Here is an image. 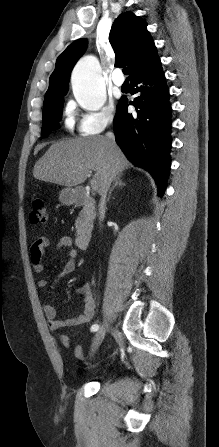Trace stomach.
<instances>
[{"label":"stomach","instance_id":"obj_1","mask_svg":"<svg viewBox=\"0 0 219 447\" xmlns=\"http://www.w3.org/2000/svg\"><path fill=\"white\" fill-rule=\"evenodd\" d=\"M78 199V190L74 188H64L60 191L59 200L65 205L74 204Z\"/></svg>","mask_w":219,"mask_h":447}]
</instances>
